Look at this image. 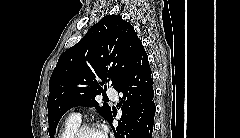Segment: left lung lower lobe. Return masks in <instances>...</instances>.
Masks as SVG:
<instances>
[{
  "label": "left lung lower lobe",
  "mask_w": 240,
  "mask_h": 138,
  "mask_svg": "<svg viewBox=\"0 0 240 138\" xmlns=\"http://www.w3.org/2000/svg\"><path fill=\"white\" fill-rule=\"evenodd\" d=\"M148 56L140 49L130 70L116 89L122 116L116 128L115 138H152L155 104L153 79ZM113 115L108 118L112 126Z\"/></svg>",
  "instance_id": "1"
}]
</instances>
